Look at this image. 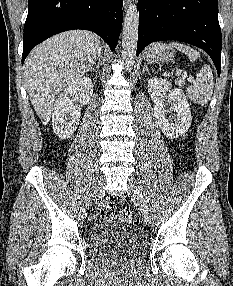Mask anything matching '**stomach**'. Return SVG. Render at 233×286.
I'll return each mask as SVG.
<instances>
[{
    "label": "stomach",
    "mask_w": 233,
    "mask_h": 286,
    "mask_svg": "<svg viewBox=\"0 0 233 286\" xmlns=\"http://www.w3.org/2000/svg\"><path fill=\"white\" fill-rule=\"evenodd\" d=\"M174 58V50L166 43H157L146 52L148 63H166Z\"/></svg>",
    "instance_id": "stomach-1"
}]
</instances>
